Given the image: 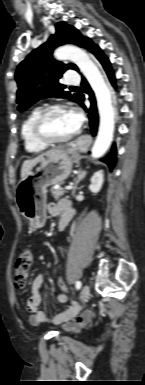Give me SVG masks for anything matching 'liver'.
I'll list each match as a JSON object with an SVG mask.
<instances>
[{"label":"liver","mask_w":145,"mask_h":385,"mask_svg":"<svg viewBox=\"0 0 145 385\" xmlns=\"http://www.w3.org/2000/svg\"><path fill=\"white\" fill-rule=\"evenodd\" d=\"M44 154L34 158V159H31V160H26L24 161L23 165H22V168H21V178H24L28 172L30 171V169L32 168V166L37 162L38 159H40Z\"/></svg>","instance_id":"1"}]
</instances>
